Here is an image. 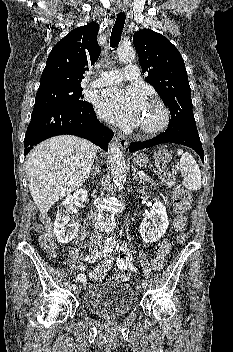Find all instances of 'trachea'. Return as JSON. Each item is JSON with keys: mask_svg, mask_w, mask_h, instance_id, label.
Listing matches in <instances>:
<instances>
[{"mask_svg": "<svg viewBox=\"0 0 233 352\" xmlns=\"http://www.w3.org/2000/svg\"><path fill=\"white\" fill-rule=\"evenodd\" d=\"M125 12H119L116 17L115 24L113 26L111 37H110V46L116 48L120 42L122 30L125 24Z\"/></svg>", "mask_w": 233, "mask_h": 352, "instance_id": "3493384b", "label": "trachea"}]
</instances>
